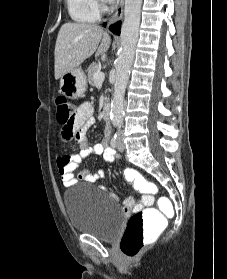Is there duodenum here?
<instances>
[{
	"label": "duodenum",
	"instance_id": "1",
	"mask_svg": "<svg viewBox=\"0 0 227 279\" xmlns=\"http://www.w3.org/2000/svg\"><path fill=\"white\" fill-rule=\"evenodd\" d=\"M102 114L104 116V118H109L110 114H111V107L110 106H104Z\"/></svg>",
	"mask_w": 227,
	"mask_h": 279
}]
</instances>
